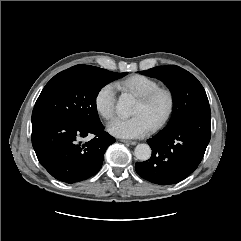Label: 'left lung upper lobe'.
<instances>
[{"mask_svg": "<svg viewBox=\"0 0 241 241\" xmlns=\"http://www.w3.org/2000/svg\"><path fill=\"white\" fill-rule=\"evenodd\" d=\"M139 73L163 81L173 95V114L164 129L179 126L201 115H211L209 101L201 83L188 71L176 65L158 66Z\"/></svg>", "mask_w": 241, "mask_h": 241, "instance_id": "5c2ea615", "label": "left lung upper lobe"}]
</instances>
